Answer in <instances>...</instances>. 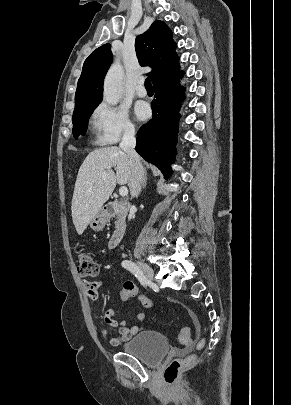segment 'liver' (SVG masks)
Returning <instances> with one entry per match:
<instances>
[{
  "label": "liver",
  "instance_id": "obj_1",
  "mask_svg": "<svg viewBox=\"0 0 291 405\" xmlns=\"http://www.w3.org/2000/svg\"><path fill=\"white\" fill-rule=\"evenodd\" d=\"M130 176V159L121 148L108 146L88 154L79 168L71 205L72 220L79 235L102 209L116 184L129 183Z\"/></svg>",
  "mask_w": 291,
  "mask_h": 405
}]
</instances>
